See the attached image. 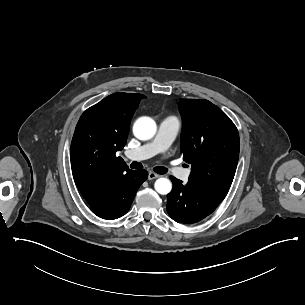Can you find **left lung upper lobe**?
Segmentation results:
<instances>
[{
	"instance_id": "1",
	"label": "left lung upper lobe",
	"mask_w": 305,
	"mask_h": 305,
	"mask_svg": "<svg viewBox=\"0 0 305 305\" xmlns=\"http://www.w3.org/2000/svg\"><path fill=\"white\" fill-rule=\"evenodd\" d=\"M181 152L191 163L188 182L227 195L240 149L239 134L230 118L204 99H181Z\"/></svg>"
}]
</instances>
